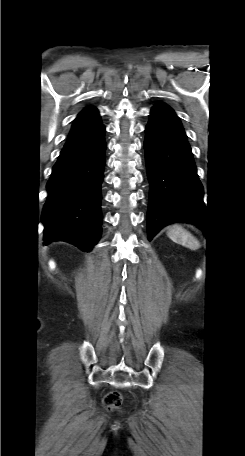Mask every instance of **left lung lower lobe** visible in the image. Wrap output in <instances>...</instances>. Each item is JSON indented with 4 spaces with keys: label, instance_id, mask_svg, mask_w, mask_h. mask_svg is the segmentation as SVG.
Segmentation results:
<instances>
[{
    "label": "left lung lower lobe",
    "instance_id": "obj_1",
    "mask_svg": "<svg viewBox=\"0 0 245 456\" xmlns=\"http://www.w3.org/2000/svg\"><path fill=\"white\" fill-rule=\"evenodd\" d=\"M144 141L150 184L148 239L175 222L200 224L204 211L203 187L191 147L174 110L158 103L150 112Z\"/></svg>",
    "mask_w": 245,
    "mask_h": 456
}]
</instances>
